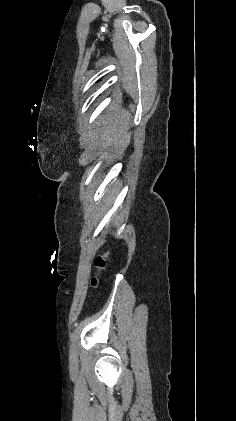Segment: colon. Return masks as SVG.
<instances>
[{
    "label": "colon",
    "instance_id": "5ec220e1",
    "mask_svg": "<svg viewBox=\"0 0 236 421\" xmlns=\"http://www.w3.org/2000/svg\"><path fill=\"white\" fill-rule=\"evenodd\" d=\"M109 253H105L103 255L97 256L94 260V265L98 270H102L105 268L106 264H107V258H108ZM98 284V280L97 278L93 277L91 279V285L93 287L97 286Z\"/></svg>",
    "mask_w": 236,
    "mask_h": 421
}]
</instances>
